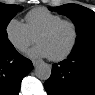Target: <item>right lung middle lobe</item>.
I'll return each mask as SVG.
<instances>
[{"instance_id": "1", "label": "right lung middle lobe", "mask_w": 95, "mask_h": 95, "mask_svg": "<svg viewBox=\"0 0 95 95\" xmlns=\"http://www.w3.org/2000/svg\"><path fill=\"white\" fill-rule=\"evenodd\" d=\"M22 7L18 5L0 4V48L12 45L8 39L6 27L16 12Z\"/></svg>"}]
</instances>
